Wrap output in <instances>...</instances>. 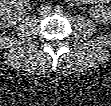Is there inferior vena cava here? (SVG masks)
Returning <instances> with one entry per match:
<instances>
[{
  "mask_svg": "<svg viewBox=\"0 0 111 106\" xmlns=\"http://www.w3.org/2000/svg\"><path fill=\"white\" fill-rule=\"evenodd\" d=\"M52 11V8L48 5H42L39 9L40 14L44 15V14H48Z\"/></svg>",
  "mask_w": 111,
  "mask_h": 106,
  "instance_id": "inferior-vena-cava-1",
  "label": "inferior vena cava"
}]
</instances>
